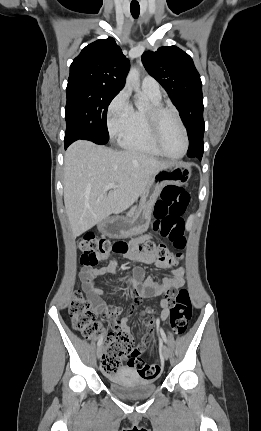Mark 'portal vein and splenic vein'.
Returning a JSON list of instances; mask_svg holds the SVG:
<instances>
[{
	"label": "portal vein and splenic vein",
	"mask_w": 261,
	"mask_h": 431,
	"mask_svg": "<svg viewBox=\"0 0 261 431\" xmlns=\"http://www.w3.org/2000/svg\"><path fill=\"white\" fill-rule=\"evenodd\" d=\"M114 187H116V185H115L114 183H109V184L106 186V188H107V189L114 188Z\"/></svg>",
	"instance_id": "1"
}]
</instances>
